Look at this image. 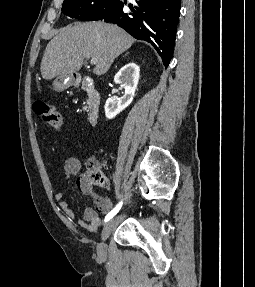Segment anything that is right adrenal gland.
Listing matches in <instances>:
<instances>
[{
	"label": "right adrenal gland",
	"mask_w": 255,
	"mask_h": 287,
	"mask_svg": "<svg viewBox=\"0 0 255 287\" xmlns=\"http://www.w3.org/2000/svg\"><path fill=\"white\" fill-rule=\"evenodd\" d=\"M127 54H129V52H127ZM125 56H126V54H125ZM122 58H124V56H122Z\"/></svg>",
	"instance_id": "obj_1"
}]
</instances>
